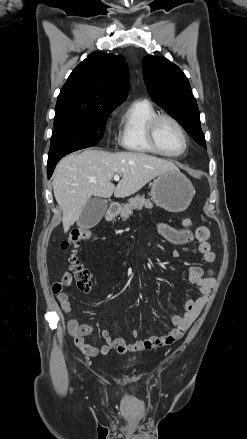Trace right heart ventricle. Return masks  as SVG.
I'll list each match as a JSON object with an SVG mask.
<instances>
[{"label": "right heart ventricle", "mask_w": 247, "mask_h": 439, "mask_svg": "<svg viewBox=\"0 0 247 439\" xmlns=\"http://www.w3.org/2000/svg\"><path fill=\"white\" fill-rule=\"evenodd\" d=\"M156 115L158 112L149 101L133 102L120 119V146L131 152L157 153L147 139L148 124Z\"/></svg>", "instance_id": "obj_1"}]
</instances>
